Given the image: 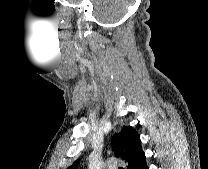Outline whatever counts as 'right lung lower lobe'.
I'll list each match as a JSON object with an SVG mask.
<instances>
[{"mask_svg":"<svg viewBox=\"0 0 208 169\" xmlns=\"http://www.w3.org/2000/svg\"><path fill=\"white\" fill-rule=\"evenodd\" d=\"M136 169H148V166L146 164V160L144 159Z\"/></svg>","mask_w":208,"mask_h":169,"instance_id":"right-lung-lower-lobe-1","label":"right lung lower lobe"}]
</instances>
